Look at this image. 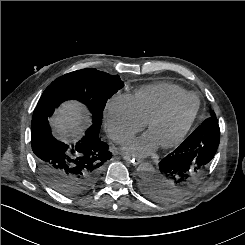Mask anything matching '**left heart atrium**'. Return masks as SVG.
I'll return each mask as SVG.
<instances>
[{
  "instance_id": "obj_1",
  "label": "left heart atrium",
  "mask_w": 245,
  "mask_h": 245,
  "mask_svg": "<svg viewBox=\"0 0 245 245\" xmlns=\"http://www.w3.org/2000/svg\"><path fill=\"white\" fill-rule=\"evenodd\" d=\"M158 146L155 138L147 133L139 138L133 139L124 147L126 153L133 156H147L153 152Z\"/></svg>"
}]
</instances>
